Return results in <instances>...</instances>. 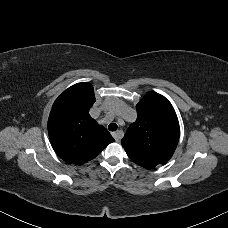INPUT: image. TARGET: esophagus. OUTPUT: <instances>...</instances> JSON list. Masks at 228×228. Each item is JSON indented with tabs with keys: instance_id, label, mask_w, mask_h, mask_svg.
<instances>
[{
	"instance_id": "obj_1",
	"label": "esophagus",
	"mask_w": 228,
	"mask_h": 228,
	"mask_svg": "<svg viewBox=\"0 0 228 228\" xmlns=\"http://www.w3.org/2000/svg\"><path fill=\"white\" fill-rule=\"evenodd\" d=\"M112 135L116 141H119L123 136V132L119 130L117 132H114Z\"/></svg>"
}]
</instances>
